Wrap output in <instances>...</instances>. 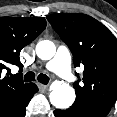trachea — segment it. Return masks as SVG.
<instances>
[{
	"mask_svg": "<svg viewBox=\"0 0 117 117\" xmlns=\"http://www.w3.org/2000/svg\"><path fill=\"white\" fill-rule=\"evenodd\" d=\"M35 80V73L32 71H29L24 76L25 82H31ZM37 80L42 84H48L49 83V77L43 73L39 74L37 77Z\"/></svg>",
	"mask_w": 117,
	"mask_h": 117,
	"instance_id": "3493384b",
	"label": "trachea"
}]
</instances>
